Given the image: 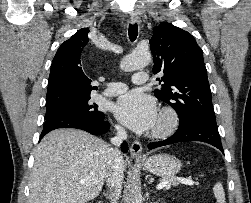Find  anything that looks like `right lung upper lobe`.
Returning a JSON list of instances; mask_svg holds the SVG:
<instances>
[{
	"instance_id": "1",
	"label": "right lung upper lobe",
	"mask_w": 251,
	"mask_h": 203,
	"mask_svg": "<svg viewBox=\"0 0 251 203\" xmlns=\"http://www.w3.org/2000/svg\"><path fill=\"white\" fill-rule=\"evenodd\" d=\"M89 30L82 28L61 44L52 61L46 108L90 98L96 87L82 70L81 54L89 41Z\"/></svg>"
}]
</instances>
